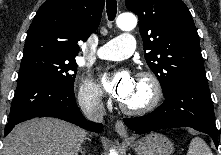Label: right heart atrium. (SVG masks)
Segmentation results:
<instances>
[{"label": "right heart atrium", "mask_w": 221, "mask_h": 155, "mask_svg": "<svg viewBox=\"0 0 221 155\" xmlns=\"http://www.w3.org/2000/svg\"><path fill=\"white\" fill-rule=\"evenodd\" d=\"M79 102L88 107L102 104L103 95L99 87L87 76L82 77L78 87Z\"/></svg>", "instance_id": "d8ad5b80"}]
</instances>
